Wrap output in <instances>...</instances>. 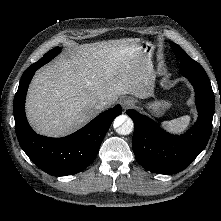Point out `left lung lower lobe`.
<instances>
[{"label": "left lung lower lobe", "instance_id": "0a47b994", "mask_svg": "<svg viewBox=\"0 0 221 221\" xmlns=\"http://www.w3.org/2000/svg\"><path fill=\"white\" fill-rule=\"evenodd\" d=\"M183 75L195 89L198 120L186 133L172 135L150 118L127 110L134 122L132 146L139 164L159 174L184 170L206 147L212 128L215 97L203 67L189 56L180 60Z\"/></svg>", "mask_w": 221, "mask_h": 221}]
</instances>
